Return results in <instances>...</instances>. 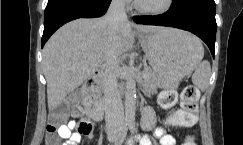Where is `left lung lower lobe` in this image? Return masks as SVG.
<instances>
[{"label":"left lung lower lobe","instance_id":"obj_1","mask_svg":"<svg viewBox=\"0 0 243 145\" xmlns=\"http://www.w3.org/2000/svg\"><path fill=\"white\" fill-rule=\"evenodd\" d=\"M138 24L160 25L190 31L200 37L209 47L213 57L217 24L215 16H194L171 7L167 12L157 16H135Z\"/></svg>","mask_w":243,"mask_h":145}]
</instances>
